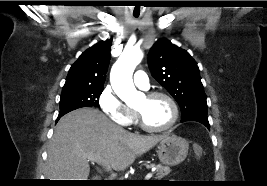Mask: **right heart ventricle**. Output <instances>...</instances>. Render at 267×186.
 Wrapping results in <instances>:
<instances>
[{
	"instance_id": "1",
	"label": "right heart ventricle",
	"mask_w": 267,
	"mask_h": 186,
	"mask_svg": "<svg viewBox=\"0 0 267 186\" xmlns=\"http://www.w3.org/2000/svg\"><path fill=\"white\" fill-rule=\"evenodd\" d=\"M131 114H132V122H134L136 120V116L132 111H131Z\"/></svg>"
}]
</instances>
